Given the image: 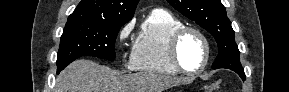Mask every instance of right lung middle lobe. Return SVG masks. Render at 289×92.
Wrapping results in <instances>:
<instances>
[{
	"label": "right lung middle lobe",
	"mask_w": 289,
	"mask_h": 92,
	"mask_svg": "<svg viewBox=\"0 0 289 92\" xmlns=\"http://www.w3.org/2000/svg\"><path fill=\"white\" fill-rule=\"evenodd\" d=\"M124 24L121 23H66L60 40L57 73L81 56L115 59V40Z\"/></svg>",
	"instance_id": "dd1d6c3e"
}]
</instances>
